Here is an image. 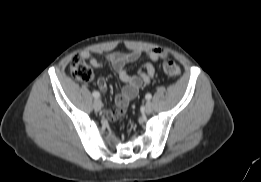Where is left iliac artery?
Instances as JSON below:
<instances>
[{"label": "left iliac artery", "instance_id": "44dca946", "mask_svg": "<svg viewBox=\"0 0 261 182\" xmlns=\"http://www.w3.org/2000/svg\"><path fill=\"white\" fill-rule=\"evenodd\" d=\"M145 98H146L147 100H150V99L152 98V95H151L150 93H148V94L145 95Z\"/></svg>", "mask_w": 261, "mask_h": 182}]
</instances>
